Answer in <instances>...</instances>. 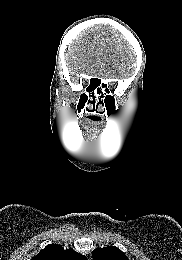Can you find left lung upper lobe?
<instances>
[{"label": "left lung upper lobe", "instance_id": "left-lung-upper-lobe-1", "mask_svg": "<svg viewBox=\"0 0 182 260\" xmlns=\"http://www.w3.org/2000/svg\"><path fill=\"white\" fill-rule=\"evenodd\" d=\"M92 258L93 260H128L125 253L114 246L96 248L92 252Z\"/></svg>", "mask_w": 182, "mask_h": 260}]
</instances>
